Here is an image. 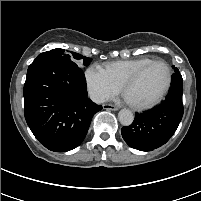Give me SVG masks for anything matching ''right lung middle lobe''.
I'll list each match as a JSON object with an SVG mask.
<instances>
[{
	"label": "right lung middle lobe",
	"instance_id": "dd1d6c3e",
	"mask_svg": "<svg viewBox=\"0 0 201 201\" xmlns=\"http://www.w3.org/2000/svg\"><path fill=\"white\" fill-rule=\"evenodd\" d=\"M72 54L75 59H83V64L85 66H88L90 64V59L88 57H83L82 55L74 53V52ZM43 59H50L54 61L68 62V63L75 64L71 60L70 54H68V52H66L64 49H59V48L39 54L34 61L43 60Z\"/></svg>",
	"mask_w": 201,
	"mask_h": 201
}]
</instances>
